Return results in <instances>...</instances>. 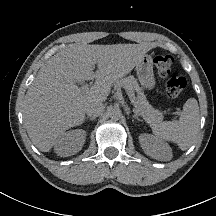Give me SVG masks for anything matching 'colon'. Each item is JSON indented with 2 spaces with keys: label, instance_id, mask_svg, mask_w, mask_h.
<instances>
[{
  "label": "colon",
  "instance_id": "1",
  "mask_svg": "<svg viewBox=\"0 0 216 216\" xmlns=\"http://www.w3.org/2000/svg\"><path fill=\"white\" fill-rule=\"evenodd\" d=\"M154 63L158 74L165 80L167 95L171 98H179L186 88V80L173 73L175 66L173 57L159 55L155 58Z\"/></svg>",
  "mask_w": 216,
  "mask_h": 216
}]
</instances>
